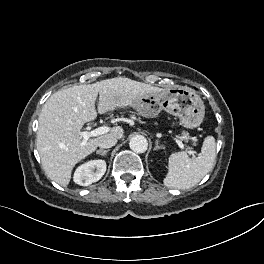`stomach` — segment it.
<instances>
[{"mask_svg": "<svg viewBox=\"0 0 264 264\" xmlns=\"http://www.w3.org/2000/svg\"><path fill=\"white\" fill-rule=\"evenodd\" d=\"M132 107L145 117H155L162 110L177 116L187 128L198 127L204 118V102L198 94L185 87H174L160 94H147Z\"/></svg>", "mask_w": 264, "mask_h": 264, "instance_id": "obj_1", "label": "stomach"}]
</instances>
